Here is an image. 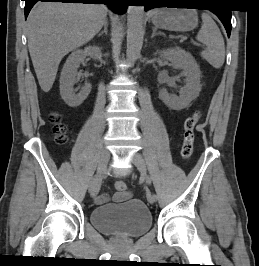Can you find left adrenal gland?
Listing matches in <instances>:
<instances>
[{
  "instance_id": "obj_1",
  "label": "left adrenal gland",
  "mask_w": 259,
  "mask_h": 266,
  "mask_svg": "<svg viewBox=\"0 0 259 266\" xmlns=\"http://www.w3.org/2000/svg\"><path fill=\"white\" fill-rule=\"evenodd\" d=\"M152 31H153V32H152L151 38L155 37L156 35H163V36H165L164 33H162V32H157V29H156L155 27L152 28Z\"/></svg>"
}]
</instances>
